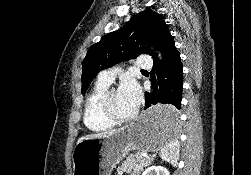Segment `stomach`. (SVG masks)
I'll return each instance as SVG.
<instances>
[{
  "instance_id": "1",
  "label": "stomach",
  "mask_w": 251,
  "mask_h": 175,
  "mask_svg": "<svg viewBox=\"0 0 251 175\" xmlns=\"http://www.w3.org/2000/svg\"><path fill=\"white\" fill-rule=\"evenodd\" d=\"M172 111H178V106L155 105L108 137L83 139L73 149V175H111L116 163L131 149L147 153L145 149L156 151L166 141H176V136L166 134H178V129H163L181 128L180 114Z\"/></svg>"
}]
</instances>
